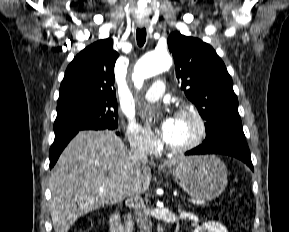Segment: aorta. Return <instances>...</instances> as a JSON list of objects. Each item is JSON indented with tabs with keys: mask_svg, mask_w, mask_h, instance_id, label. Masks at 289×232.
<instances>
[{
	"mask_svg": "<svg viewBox=\"0 0 289 232\" xmlns=\"http://www.w3.org/2000/svg\"><path fill=\"white\" fill-rule=\"evenodd\" d=\"M172 65V59L167 52L152 51L146 53L137 62L132 79L137 88L140 89L145 79L153 77Z\"/></svg>",
	"mask_w": 289,
	"mask_h": 232,
	"instance_id": "obj_1",
	"label": "aorta"
}]
</instances>
